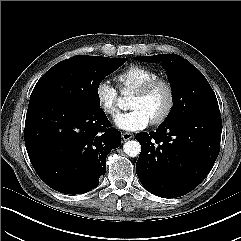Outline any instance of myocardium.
Returning <instances> with one entry per match:
<instances>
[{"label":"myocardium","mask_w":241,"mask_h":241,"mask_svg":"<svg viewBox=\"0 0 241 241\" xmlns=\"http://www.w3.org/2000/svg\"><path fill=\"white\" fill-rule=\"evenodd\" d=\"M162 86L166 89L167 92V104L164 110L155 118L151 119L150 122L153 125H159L167 120V118L172 113L175 106V89L173 84L164 78H155L144 85L140 86L135 90L134 94L144 97L150 94L155 88Z\"/></svg>","instance_id":"f54148a6"}]
</instances>
